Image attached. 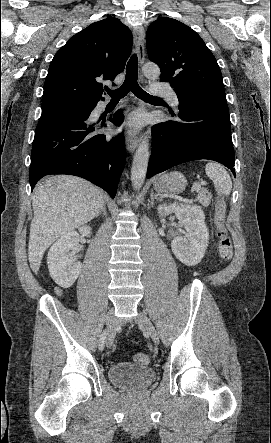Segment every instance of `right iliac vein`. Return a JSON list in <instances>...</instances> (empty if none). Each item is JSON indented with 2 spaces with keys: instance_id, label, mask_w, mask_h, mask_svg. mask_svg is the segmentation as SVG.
<instances>
[{
  "instance_id": "right-iliac-vein-1",
  "label": "right iliac vein",
  "mask_w": 271,
  "mask_h": 443,
  "mask_svg": "<svg viewBox=\"0 0 271 443\" xmlns=\"http://www.w3.org/2000/svg\"><path fill=\"white\" fill-rule=\"evenodd\" d=\"M106 325L108 328L106 345H107V347H111L114 342L115 335H116L115 319H114L113 310H110L107 314Z\"/></svg>"
}]
</instances>
